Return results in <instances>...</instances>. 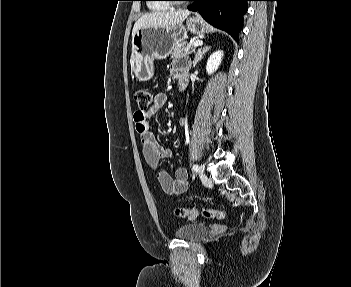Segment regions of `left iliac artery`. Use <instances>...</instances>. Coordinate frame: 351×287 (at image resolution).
I'll list each match as a JSON object with an SVG mask.
<instances>
[{
	"label": "left iliac artery",
	"mask_w": 351,
	"mask_h": 287,
	"mask_svg": "<svg viewBox=\"0 0 351 287\" xmlns=\"http://www.w3.org/2000/svg\"><path fill=\"white\" fill-rule=\"evenodd\" d=\"M192 171H198V165L197 164H194L192 166Z\"/></svg>",
	"instance_id": "obj_1"
}]
</instances>
